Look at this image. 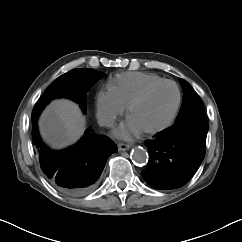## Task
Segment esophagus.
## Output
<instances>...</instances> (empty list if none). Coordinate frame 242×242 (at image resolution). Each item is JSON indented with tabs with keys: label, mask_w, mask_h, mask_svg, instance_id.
Masks as SVG:
<instances>
[{
	"label": "esophagus",
	"mask_w": 242,
	"mask_h": 242,
	"mask_svg": "<svg viewBox=\"0 0 242 242\" xmlns=\"http://www.w3.org/2000/svg\"><path fill=\"white\" fill-rule=\"evenodd\" d=\"M132 147V145L130 144H126V143H119L118 144V150L119 151H125V150H128Z\"/></svg>",
	"instance_id": "esophagus-1"
}]
</instances>
